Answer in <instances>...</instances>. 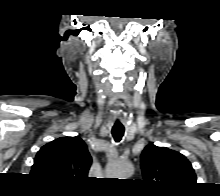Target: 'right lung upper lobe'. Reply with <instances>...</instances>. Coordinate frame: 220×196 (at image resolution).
Listing matches in <instances>:
<instances>
[{"mask_svg": "<svg viewBox=\"0 0 220 196\" xmlns=\"http://www.w3.org/2000/svg\"><path fill=\"white\" fill-rule=\"evenodd\" d=\"M91 162L87 146L81 138L62 137L38 151L31 174L50 184L76 186L87 178Z\"/></svg>", "mask_w": 220, "mask_h": 196, "instance_id": "cb5924a9", "label": "right lung upper lobe"}]
</instances>
